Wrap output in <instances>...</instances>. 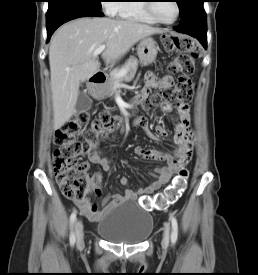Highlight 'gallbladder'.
I'll return each instance as SVG.
<instances>
[{"mask_svg": "<svg viewBox=\"0 0 258 275\" xmlns=\"http://www.w3.org/2000/svg\"><path fill=\"white\" fill-rule=\"evenodd\" d=\"M92 100L85 91H80L78 94L75 110L78 114L86 112L91 106Z\"/></svg>", "mask_w": 258, "mask_h": 275, "instance_id": "bac80fb5", "label": "gallbladder"}]
</instances>
